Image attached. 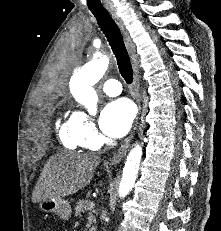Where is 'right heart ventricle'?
Here are the masks:
<instances>
[{"label": "right heart ventricle", "mask_w": 221, "mask_h": 231, "mask_svg": "<svg viewBox=\"0 0 221 231\" xmlns=\"http://www.w3.org/2000/svg\"><path fill=\"white\" fill-rule=\"evenodd\" d=\"M59 138L68 149L77 150L83 147L72 115L59 125Z\"/></svg>", "instance_id": "obj_1"}]
</instances>
